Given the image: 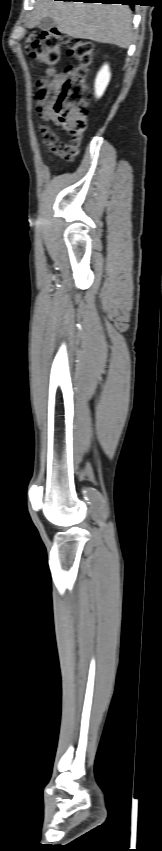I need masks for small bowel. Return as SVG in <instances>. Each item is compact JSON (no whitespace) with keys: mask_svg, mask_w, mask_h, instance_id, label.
Wrapping results in <instances>:
<instances>
[{"mask_svg":"<svg viewBox=\"0 0 162 851\" xmlns=\"http://www.w3.org/2000/svg\"><path fill=\"white\" fill-rule=\"evenodd\" d=\"M66 79V74L59 72L54 68L47 69V76L38 81L34 94L36 112L43 122H55L56 115L54 105L61 91L62 84ZM40 132L43 136V142L48 147L49 152L70 159L72 150H77V146L73 142L70 144L59 143V135L45 123L39 125Z\"/></svg>","mask_w":162,"mask_h":851,"instance_id":"small-bowel-1","label":"small bowel"}]
</instances>
